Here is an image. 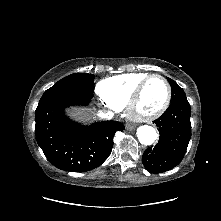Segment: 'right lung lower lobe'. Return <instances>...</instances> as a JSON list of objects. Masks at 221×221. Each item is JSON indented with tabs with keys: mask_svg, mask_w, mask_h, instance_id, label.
Returning a JSON list of instances; mask_svg holds the SVG:
<instances>
[{
	"mask_svg": "<svg viewBox=\"0 0 221 221\" xmlns=\"http://www.w3.org/2000/svg\"><path fill=\"white\" fill-rule=\"evenodd\" d=\"M90 101L78 96H64L37 106V143L46 158L59 169L85 172L100 166L112 151L115 132L125 129L117 121L83 126L65 115L66 107L86 106Z\"/></svg>",
	"mask_w": 221,
	"mask_h": 221,
	"instance_id": "1",
	"label": "right lung lower lobe"
}]
</instances>
